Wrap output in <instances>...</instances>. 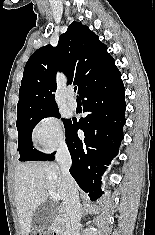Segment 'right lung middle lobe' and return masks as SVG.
I'll list each match as a JSON object with an SVG mask.
<instances>
[{
  "mask_svg": "<svg viewBox=\"0 0 155 235\" xmlns=\"http://www.w3.org/2000/svg\"><path fill=\"white\" fill-rule=\"evenodd\" d=\"M60 118L58 108L45 111H32L17 116L16 126L18 130L19 161H43L50 154H43L32 146L31 134L35 125L45 117ZM65 131L69 128L72 120L62 119Z\"/></svg>",
  "mask_w": 155,
  "mask_h": 235,
  "instance_id": "1",
  "label": "right lung middle lobe"
}]
</instances>
